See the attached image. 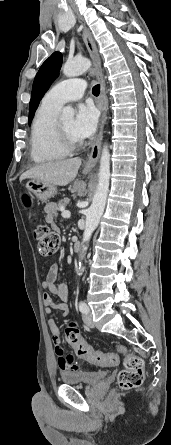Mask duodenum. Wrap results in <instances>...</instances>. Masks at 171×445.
<instances>
[{
    "label": "duodenum",
    "mask_w": 171,
    "mask_h": 445,
    "mask_svg": "<svg viewBox=\"0 0 171 445\" xmlns=\"http://www.w3.org/2000/svg\"><path fill=\"white\" fill-rule=\"evenodd\" d=\"M73 246H74V250L75 251H79L81 249V241H80L79 238H76L74 240V245Z\"/></svg>",
    "instance_id": "410a0bca"
}]
</instances>
